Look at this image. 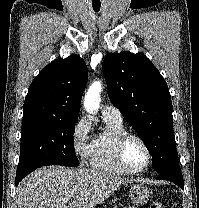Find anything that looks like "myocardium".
Wrapping results in <instances>:
<instances>
[{
  "mask_svg": "<svg viewBox=\"0 0 199 208\" xmlns=\"http://www.w3.org/2000/svg\"><path fill=\"white\" fill-rule=\"evenodd\" d=\"M130 139L138 140L143 145V147L146 151L147 161L144 164V166L140 169L131 168L125 160V155H124L125 146ZM115 158H116V161L119 164V166L122 169H124L126 172H128L130 174H141L144 171H146L147 168L150 166V164L152 162V153H151L148 143L145 141V139L143 137H141L140 135L135 134V133L126 132L123 135H121L116 142Z\"/></svg>",
  "mask_w": 199,
  "mask_h": 208,
  "instance_id": "myocardium-1",
  "label": "myocardium"
}]
</instances>
